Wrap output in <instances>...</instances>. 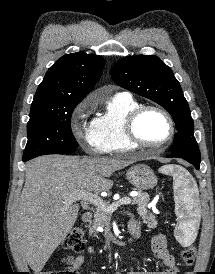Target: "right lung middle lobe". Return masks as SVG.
I'll list each match as a JSON object with an SVG mask.
<instances>
[{
  "label": "right lung middle lobe",
  "instance_id": "1",
  "mask_svg": "<svg viewBox=\"0 0 215 274\" xmlns=\"http://www.w3.org/2000/svg\"><path fill=\"white\" fill-rule=\"evenodd\" d=\"M79 102L32 103L23 159L74 150L71 115Z\"/></svg>",
  "mask_w": 215,
  "mask_h": 274
}]
</instances>
